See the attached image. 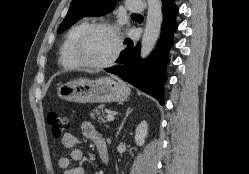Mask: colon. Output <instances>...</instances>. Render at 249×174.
Instances as JSON below:
<instances>
[{"label":"colon","mask_w":249,"mask_h":174,"mask_svg":"<svg viewBox=\"0 0 249 174\" xmlns=\"http://www.w3.org/2000/svg\"><path fill=\"white\" fill-rule=\"evenodd\" d=\"M47 124L49 125L51 132L55 137L64 136L70 127L69 119L57 111H51L48 113Z\"/></svg>","instance_id":"1"}]
</instances>
